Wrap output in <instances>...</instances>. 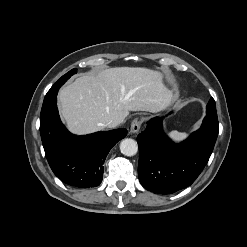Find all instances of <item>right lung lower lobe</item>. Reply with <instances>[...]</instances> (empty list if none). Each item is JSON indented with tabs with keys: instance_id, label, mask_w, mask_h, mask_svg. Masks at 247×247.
Masks as SVG:
<instances>
[{
	"instance_id": "98d812e1",
	"label": "right lung lower lobe",
	"mask_w": 247,
	"mask_h": 247,
	"mask_svg": "<svg viewBox=\"0 0 247 247\" xmlns=\"http://www.w3.org/2000/svg\"><path fill=\"white\" fill-rule=\"evenodd\" d=\"M56 102L55 96L43 103L40 115V133L47 161L54 174L66 184L81 188L98 186L107 154L127 135V130L72 135L60 121Z\"/></svg>"
}]
</instances>
